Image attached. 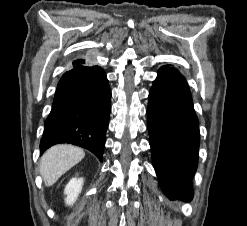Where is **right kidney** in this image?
<instances>
[{"label":"right kidney","mask_w":247,"mask_h":226,"mask_svg":"<svg viewBox=\"0 0 247 226\" xmlns=\"http://www.w3.org/2000/svg\"><path fill=\"white\" fill-rule=\"evenodd\" d=\"M83 186L82 178H72L65 187L64 194L67 196L65 198V203L67 205H73L77 200Z\"/></svg>","instance_id":"1"}]
</instances>
